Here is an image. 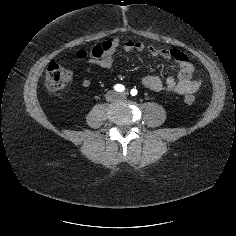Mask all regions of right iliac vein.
<instances>
[{"label":"right iliac vein","instance_id":"1","mask_svg":"<svg viewBox=\"0 0 236 236\" xmlns=\"http://www.w3.org/2000/svg\"><path fill=\"white\" fill-rule=\"evenodd\" d=\"M106 99L109 100V101H114L117 99V95L116 93L114 92H109L107 95H106Z\"/></svg>","mask_w":236,"mask_h":236}]
</instances>
